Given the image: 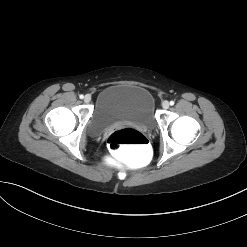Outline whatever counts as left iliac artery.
<instances>
[{"mask_svg": "<svg viewBox=\"0 0 247 247\" xmlns=\"http://www.w3.org/2000/svg\"><path fill=\"white\" fill-rule=\"evenodd\" d=\"M170 105H171V106L174 105V101H170Z\"/></svg>", "mask_w": 247, "mask_h": 247, "instance_id": "44dca946", "label": "left iliac artery"}]
</instances>
